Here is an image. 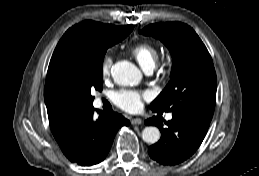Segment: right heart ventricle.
Returning a JSON list of instances; mask_svg holds the SVG:
<instances>
[{"instance_id": "obj_1", "label": "right heart ventricle", "mask_w": 259, "mask_h": 176, "mask_svg": "<svg viewBox=\"0 0 259 176\" xmlns=\"http://www.w3.org/2000/svg\"><path fill=\"white\" fill-rule=\"evenodd\" d=\"M131 54L144 70L153 69L158 60V49L148 42H138L130 49Z\"/></svg>"}]
</instances>
